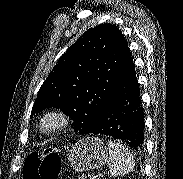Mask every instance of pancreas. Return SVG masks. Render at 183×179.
I'll list each match as a JSON object with an SVG mask.
<instances>
[{"label": "pancreas", "instance_id": "pancreas-1", "mask_svg": "<svg viewBox=\"0 0 183 179\" xmlns=\"http://www.w3.org/2000/svg\"><path fill=\"white\" fill-rule=\"evenodd\" d=\"M78 179H87V177L86 176H80V177H78Z\"/></svg>", "mask_w": 183, "mask_h": 179}]
</instances>
